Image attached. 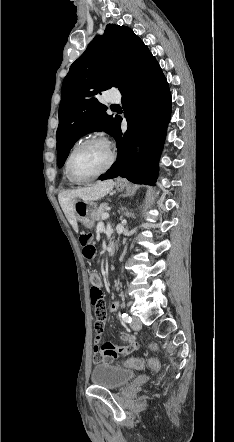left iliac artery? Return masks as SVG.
<instances>
[{"instance_id":"1","label":"left iliac artery","mask_w":234,"mask_h":442,"mask_svg":"<svg viewBox=\"0 0 234 442\" xmlns=\"http://www.w3.org/2000/svg\"><path fill=\"white\" fill-rule=\"evenodd\" d=\"M122 319L126 323H131V321H132V318L127 313L122 314Z\"/></svg>"}]
</instances>
